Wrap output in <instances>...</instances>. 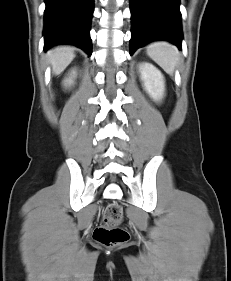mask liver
<instances>
[{
    "instance_id": "liver-1",
    "label": "liver",
    "mask_w": 231,
    "mask_h": 281,
    "mask_svg": "<svg viewBox=\"0 0 231 281\" xmlns=\"http://www.w3.org/2000/svg\"><path fill=\"white\" fill-rule=\"evenodd\" d=\"M74 48L58 46L47 53V58L55 75H59L74 59Z\"/></svg>"
}]
</instances>
